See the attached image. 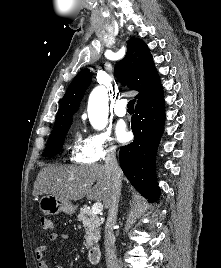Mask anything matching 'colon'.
I'll use <instances>...</instances> for the list:
<instances>
[{"instance_id":"obj_1","label":"colon","mask_w":221,"mask_h":268,"mask_svg":"<svg viewBox=\"0 0 221 268\" xmlns=\"http://www.w3.org/2000/svg\"><path fill=\"white\" fill-rule=\"evenodd\" d=\"M40 220L41 226L44 230H51L53 228V223L50 218L42 216Z\"/></svg>"}]
</instances>
